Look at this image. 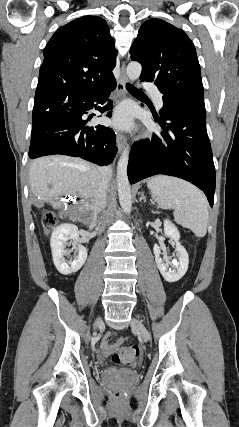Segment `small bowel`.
<instances>
[{
    "label": "small bowel",
    "instance_id": "small-bowel-1",
    "mask_svg": "<svg viewBox=\"0 0 239 427\" xmlns=\"http://www.w3.org/2000/svg\"><path fill=\"white\" fill-rule=\"evenodd\" d=\"M123 343V339L120 338L116 340L114 343L109 342V335H107L101 342V350L105 356H108L111 352L116 350Z\"/></svg>",
    "mask_w": 239,
    "mask_h": 427
}]
</instances>
